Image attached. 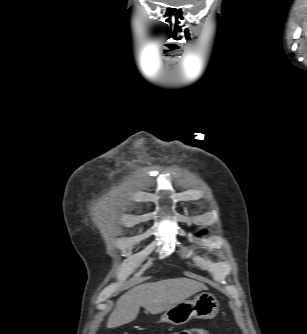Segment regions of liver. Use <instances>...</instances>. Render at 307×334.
<instances>
[{
    "label": "liver",
    "instance_id": "6515ba94",
    "mask_svg": "<svg viewBox=\"0 0 307 334\" xmlns=\"http://www.w3.org/2000/svg\"><path fill=\"white\" fill-rule=\"evenodd\" d=\"M207 289L203 283L188 278L166 279L138 285L117 300L106 326L115 328L135 320L140 307H144L151 314L161 313L193 294Z\"/></svg>",
    "mask_w": 307,
    "mask_h": 334
}]
</instances>
